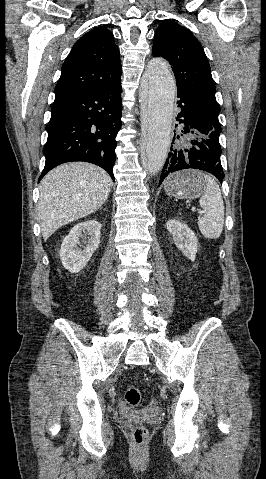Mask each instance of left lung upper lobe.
<instances>
[{
    "label": "left lung upper lobe",
    "mask_w": 266,
    "mask_h": 479,
    "mask_svg": "<svg viewBox=\"0 0 266 479\" xmlns=\"http://www.w3.org/2000/svg\"><path fill=\"white\" fill-rule=\"evenodd\" d=\"M152 54L169 61L176 78L177 93L188 97L221 129L216 87L209 62L197 38L178 23L164 20L155 32Z\"/></svg>",
    "instance_id": "1"
}]
</instances>
